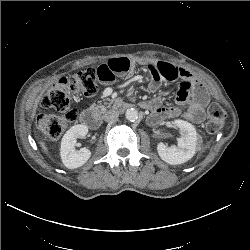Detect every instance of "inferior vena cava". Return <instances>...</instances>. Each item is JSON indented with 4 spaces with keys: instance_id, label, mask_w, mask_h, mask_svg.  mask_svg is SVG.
<instances>
[{
    "instance_id": "1",
    "label": "inferior vena cava",
    "mask_w": 250,
    "mask_h": 250,
    "mask_svg": "<svg viewBox=\"0 0 250 250\" xmlns=\"http://www.w3.org/2000/svg\"><path fill=\"white\" fill-rule=\"evenodd\" d=\"M119 116V113L115 110H109L103 115V119L106 122H113L115 121Z\"/></svg>"
}]
</instances>
